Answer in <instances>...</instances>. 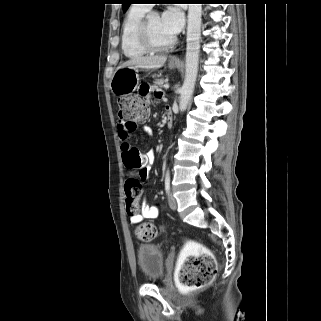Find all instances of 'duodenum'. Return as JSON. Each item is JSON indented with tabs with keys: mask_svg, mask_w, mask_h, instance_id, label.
<instances>
[{
	"mask_svg": "<svg viewBox=\"0 0 321 321\" xmlns=\"http://www.w3.org/2000/svg\"><path fill=\"white\" fill-rule=\"evenodd\" d=\"M173 123V116L171 111L168 109L166 114V124L168 127H171Z\"/></svg>",
	"mask_w": 321,
	"mask_h": 321,
	"instance_id": "410a0bca",
	"label": "duodenum"
}]
</instances>
